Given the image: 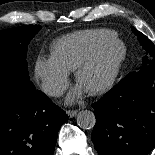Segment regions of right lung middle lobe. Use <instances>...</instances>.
I'll use <instances>...</instances> for the list:
<instances>
[{
	"label": "right lung middle lobe",
	"mask_w": 155,
	"mask_h": 155,
	"mask_svg": "<svg viewBox=\"0 0 155 155\" xmlns=\"http://www.w3.org/2000/svg\"><path fill=\"white\" fill-rule=\"evenodd\" d=\"M40 25H25L0 31V92L27 98L34 89L27 70V48Z\"/></svg>",
	"instance_id": "right-lung-middle-lobe-1"
}]
</instances>
